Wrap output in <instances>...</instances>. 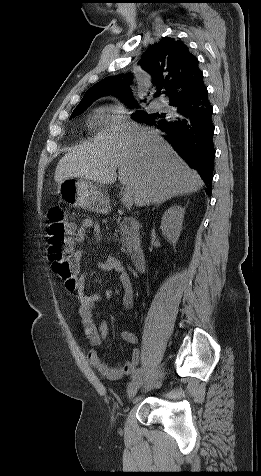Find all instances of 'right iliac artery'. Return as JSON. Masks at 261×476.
Returning <instances> with one entry per match:
<instances>
[{
  "label": "right iliac artery",
  "instance_id": "obj_1",
  "mask_svg": "<svg viewBox=\"0 0 261 476\" xmlns=\"http://www.w3.org/2000/svg\"><path fill=\"white\" fill-rule=\"evenodd\" d=\"M142 372V368H137L136 370L133 371L131 378L137 377L140 373Z\"/></svg>",
  "mask_w": 261,
  "mask_h": 476
}]
</instances>
